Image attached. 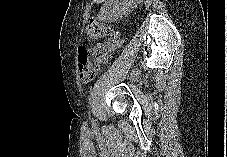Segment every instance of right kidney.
<instances>
[{
	"label": "right kidney",
	"mask_w": 227,
	"mask_h": 157,
	"mask_svg": "<svg viewBox=\"0 0 227 157\" xmlns=\"http://www.w3.org/2000/svg\"><path fill=\"white\" fill-rule=\"evenodd\" d=\"M128 1H108L101 8L100 17L109 21L114 22L127 15L129 8L127 7Z\"/></svg>",
	"instance_id": "ca27d5eb"
}]
</instances>
